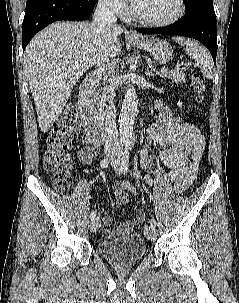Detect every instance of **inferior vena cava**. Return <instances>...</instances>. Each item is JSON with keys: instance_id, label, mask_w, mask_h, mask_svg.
Listing matches in <instances>:
<instances>
[{"instance_id": "obj_1", "label": "inferior vena cava", "mask_w": 239, "mask_h": 303, "mask_svg": "<svg viewBox=\"0 0 239 303\" xmlns=\"http://www.w3.org/2000/svg\"><path fill=\"white\" fill-rule=\"evenodd\" d=\"M93 18L94 24L100 29L106 26H114L116 24L117 17L115 15V5L113 0H99ZM97 70L100 77L103 76L104 84L102 89V100L104 102L106 112L104 147L105 150L118 151L120 149V143L116 126V108L114 104V98L116 96L115 70L113 66H105L104 64L102 66L99 64Z\"/></svg>"}]
</instances>
